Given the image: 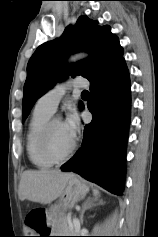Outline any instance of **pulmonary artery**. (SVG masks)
<instances>
[{"label": "pulmonary artery", "mask_w": 158, "mask_h": 237, "mask_svg": "<svg viewBox=\"0 0 158 237\" xmlns=\"http://www.w3.org/2000/svg\"><path fill=\"white\" fill-rule=\"evenodd\" d=\"M88 86V81L82 77H77L72 80L60 82L49 91H47L44 95H42L38 99L36 105L39 108L53 114L56 111L59 102L70 88L80 89L87 88Z\"/></svg>", "instance_id": "e3ab8cb5"}]
</instances>
